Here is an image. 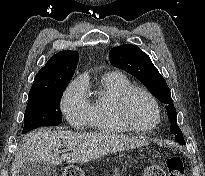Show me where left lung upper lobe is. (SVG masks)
Wrapping results in <instances>:
<instances>
[{"label": "left lung upper lobe", "instance_id": "left-lung-upper-lobe-1", "mask_svg": "<svg viewBox=\"0 0 205 176\" xmlns=\"http://www.w3.org/2000/svg\"><path fill=\"white\" fill-rule=\"evenodd\" d=\"M109 60L113 66L123 69L138 78L152 94L166 104L168 118L171 122L170 131L175 133L176 141L184 145L185 141L182 131L177 125L176 109L170 90L149 56L138 46L124 44L110 50Z\"/></svg>", "mask_w": 205, "mask_h": 176}]
</instances>
